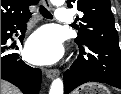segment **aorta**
I'll return each mask as SVG.
<instances>
[{
	"label": "aorta",
	"mask_w": 121,
	"mask_h": 94,
	"mask_svg": "<svg viewBox=\"0 0 121 94\" xmlns=\"http://www.w3.org/2000/svg\"><path fill=\"white\" fill-rule=\"evenodd\" d=\"M51 2L56 6H61L65 0H51ZM63 91V81L60 78H56L51 84L49 94H63Z\"/></svg>",
	"instance_id": "obj_1"
}]
</instances>
